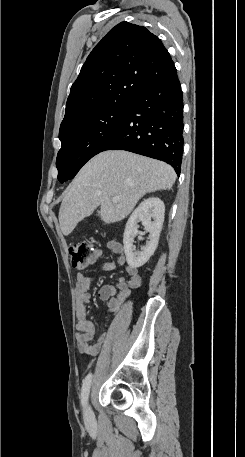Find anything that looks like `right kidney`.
<instances>
[{"instance_id":"right-kidney-1","label":"right kidney","mask_w":245,"mask_h":457,"mask_svg":"<svg viewBox=\"0 0 245 457\" xmlns=\"http://www.w3.org/2000/svg\"><path fill=\"white\" fill-rule=\"evenodd\" d=\"M164 212L165 204L163 200L157 198V196H150V198L143 200L129 216L125 226L123 243L126 261L132 269L142 267L154 255L158 247ZM138 222H142L143 226H145V233H149V241H147L145 247H142V251H135L133 245L136 235H145V233L138 231Z\"/></svg>"}]
</instances>
